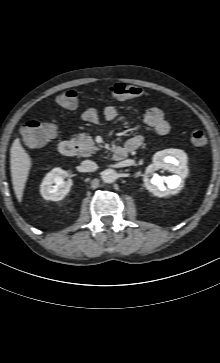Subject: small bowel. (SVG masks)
Here are the masks:
<instances>
[{"label": "small bowel", "instance_id": "c3829d8e", "mask_svg": "<svg viewBox=\"0 0 220 363\" xmlns=\"http://www.w3.org/2000/svg\"><path fill=\"white\" fill-rule=\"evenodd\" d=\"M104 116L107 120L112 121L118 118L119 111L114 106H108L104 110ZM84 122L95 124L98 121V112L95 108H88L82 114ZM145 125L153 130L157 135L164 136L170 131V125L164 117V113L160 108H150L144 115ZM143 143V137L140 135L129 138L124 146L128 150H136Z\"/></svg>", "mask_w": 220, "mask_h": 363}]
</instances>
